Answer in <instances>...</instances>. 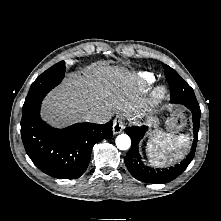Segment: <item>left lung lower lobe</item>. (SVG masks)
Instances as JSON below:
<instances>
[{
    "instance_id": "1",
    "label": "left lung lower lobe",
    "mask_w": 221,
    "mask_h": 221,
    "mask_svg": "<svg viewBox=\"0 0 221 221\" xmlns=\"http://www.w3.org/2000/svg\"><path fill=\"white\" fill-rule=\"evenodd\" d=\"M171 103H178L186 106L192 112L194 140L189 155L180 164L169 169H153L145 166L138 152V143L143 138L147 128L127 127L126 133L131 137L132 147L124 158L125 164L131 175L139 181L146 183L163 184L172 181L178 177L192 161L198 140V131L201 110L193 89L183 80H177L170 85Z\"/></svg>"
}]
</instances>
